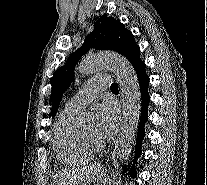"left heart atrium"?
<instances>
[{
  "instance_id": "1",
  "label": "left heart atrium",
  "mask_w": 207,
  "mask_h": 185,
  "mask_svg": "<svg viewBox=\"0 0 207 185\" xmlns=\"http://www.w3.org/2000/svg\"><path fill=\"white\" fill-rule=\"evenodd\" d=\"M119 109L116 103L106 100L96 109V133L103 139H109L117 132Z\"/></svg>"
}]
</instances>
